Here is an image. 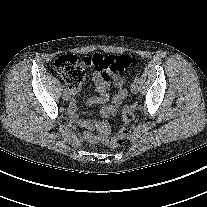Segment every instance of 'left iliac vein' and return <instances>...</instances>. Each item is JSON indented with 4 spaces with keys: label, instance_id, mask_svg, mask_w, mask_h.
<instances>
[{
    "label": "left iliac vein",
    "instance_id": "obj_1",
    "mask_svg": "<svg viewBox=\"0 0 207 207\" xmlns=\"http://www.w3.org/2000/svg\"><path fill=\"white\" fill-rule=\"evenodd\" d=\"M138 90H139L138 83H135V82H134V83L131 85V92L134 93V94H136V93L138 92Z\"/></svg>",
    "mask_w": 207,
    "mask_h": 207
}]
</instances>
